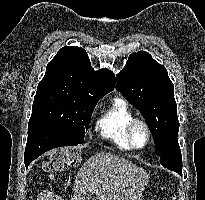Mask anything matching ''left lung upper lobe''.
Instances as JSON below:
<instances>
[{
  "label": "left lung upper lobe",
  "mask_w": 205,
  "mask_h": 200,
  "mask_svg": "<svg viewBox=\"0 0 205 200\" xmlns=\"http://www.w3.org/2000/svg\"><path fill=\"white\" fill-rule=\"evenodd\" d=\"M146 120L158 157L170 149L173 129L179 125L174 86L164 66L144 51L129 56L117 75V87Z\"/></svg>",
  "instance_id": "left-lung-upper-lobe-1"
}]
</instances>
